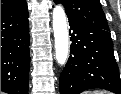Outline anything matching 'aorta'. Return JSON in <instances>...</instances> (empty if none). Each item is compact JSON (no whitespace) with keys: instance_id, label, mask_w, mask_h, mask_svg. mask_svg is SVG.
I'll use <instances>...</instances> for the list:
<instances>
[{"instance_id":"1","label":"aorta","mask_w":121,"mask_h":94,"mask_svg":"<svg viewBox=\"0 0 121 94\" xmlns=\"http://www.w3.org/2000/svg\"><path fill=\"white\" fill-rule=\"evenodd\" d=\"M53 30L55 37L56 60L64 65L68 58L69 38L66 22V14L62 6L57 5L53 9Z\"/></svg>"}]
</instances>
